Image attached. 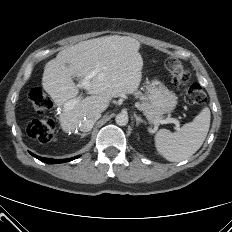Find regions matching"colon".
<instances>
[{"label":"colon","instance_id":"colon-1","mask_svg":"<svg viewBox=\"0 0 232 232\" xmlns=\"http://www.w3.org/2000/svg\"><path fill=\"white\" fill-rule=\"evenodd\" d=\"M165 66L176 86H185V97L190 104H202L207 100L206 93L198 83L190 82V72L176 58H168ZM28 98L37 113H44L53 107L50 97L41 87L30 89ZM27 134L42 143L50 142L54 136V122L49 118L30 119L26 124Z\"/></svg>","mask_w":232,"mask_h":232}]
</instances>
